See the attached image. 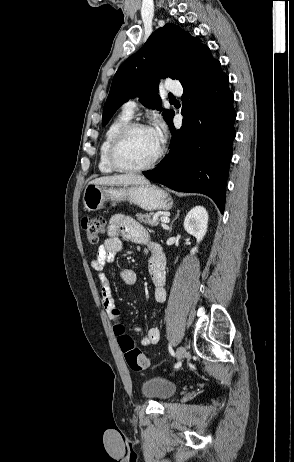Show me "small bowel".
Wrapping results in <instances>:
<instances>
[{"instance_id": "small-bowel-1", "label": "small bowel", "mask_w": 294, "mask_h": 462, "mask_svg": "<svg viewBox=\"0 0 294 462\" xmlns=\"http://www.w3.org/2000/svg\"><path fill=\"white\" fill-rule=\"evenodd\" d=\"M120 236L134 242L144 245L152 253L149 260V274L154 286L153 297L157 303H163L166 299V260L160 245L150 240L145 228L133 218L117 214L110 218L107 227V238L100 245L96 257L91 262V267L95 271L101 289L102 304L111 319L115 323L123 324L119 312L112 296V284L110 278L104 273L106 264L111 263L115 255L123 249V243ZM121 281L128 286L136 282V274L130 268H124L120 271ZM133 331L141 333L142 329L134 327ZM160 333L157 327L151 326L147 329L145 335L141 338L143 346H150L158 343Z\"/></svg>"}]
</instances>
